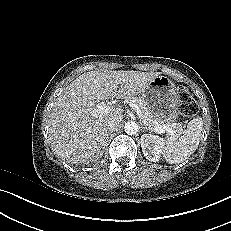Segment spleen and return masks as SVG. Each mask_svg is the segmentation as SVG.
<instances>
[{
    "label": "spleen",
    "instance_id": "spleen-1",
    "mask_svg": "<svg viewBox=\"0 0 231 231\" xmlns=\"http://www.w3.org/2000/svg\"><path fill=\"white\" fill-rule=\"evenodd\" d=\"M202 130V118H193L186 130L169 137L164 142L162 146L164 159L170 164H179L188 159L198 148Z\"/></svg>",
    "mask_w": 231,
    "mask_h": 231
}]
</instances>
